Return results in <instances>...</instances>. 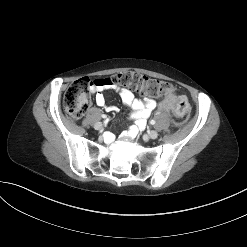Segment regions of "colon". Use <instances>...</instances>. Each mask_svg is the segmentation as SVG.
I'll use <instances>...</instances> for the list:
<instances>
[{"label":"colon","mask_w":247,"mask_h":247,"mask_svg":"<svg viewBox=\"0 0 247 247\" xmlns=\"http://www.w3.org/2000/svg\"><path fill=\"white\" fill-rule=\"evenodd\" d=\"M100 83L130 87L137 92L153 96L165 94L161 103L163 108L172 110L178 117H184L188 111L186 98L177 96L168 82L149 78L135 72H125L104 80L82 78L73 82L64 96V109L71 119L77 120L82 117L89 106V90L93 85Z\"/></svg>","instance_id":"colon-1"}]
</instances>
